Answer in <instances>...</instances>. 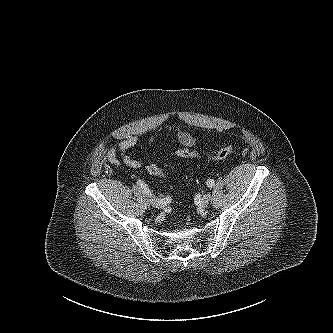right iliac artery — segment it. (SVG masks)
Listing matches in <instances>:
<instances>
[{"instance_id": "1", "label": "right iliac artery", "mask_w": 333, "mask_h": 333, "mask_svg": "<svg viewBox=\"0 0 333 333\" xmlns=\"http://www.w3.org/2000/svg\"><path fill=\"white\" fill-rule=\"evenodd\" d=\"M137 185L142 189V191L148 195L150 198L155 199L154 194L150 191L148 186L145 184L144 181L138 180ZM156 200L160 201L162 204L167 205L171 202V198L169 196L165 198H156Z\"/></svg>"}]
</instances>
